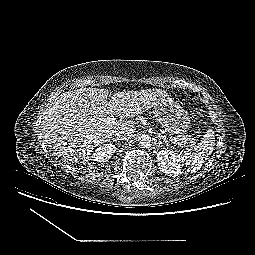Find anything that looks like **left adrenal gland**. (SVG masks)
<instances>
[{
    "label": "left adrenal gland",
    "instance_id": "left-adrenal-gland-1",
    "mask_svg": "<svg viewBox=\"0 0 255 255\" xmlns=\"http://www.w3.org/2000/svg\"><path fill=\"white\" fill-rule=\"evenodd\" d=\"M160 143H162V141H160ZM165 144H167V142H164Z\"/></svg>",
    "mask_w": 255,
    "mask_h": 255
}]
</instances>
